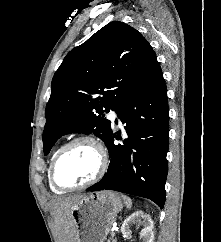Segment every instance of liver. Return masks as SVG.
Returning <instances> with one entry per match:
<instances>
[{"instance_id": "obj_1", "label": "liver", "mask_w": 221, "mask_h": 242, "mask_svg": "<svg viewBox=\"0 0 221 242\" xmlns=\"http://www.w3.org/2000/svg\"><path fill=\"white\" fill-rule=\"evenodd\" d=\"M83 196H69L52 201L51 209L58 234V242H75L76 228L71 214L72 206Z\"/></svg>"}]
</instances>
